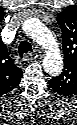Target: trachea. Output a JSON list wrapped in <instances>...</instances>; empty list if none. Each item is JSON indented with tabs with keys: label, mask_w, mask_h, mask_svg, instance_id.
Instances as JSON below:
<instances>
[{
	"label": "trachea",
	"mask_w": 77,
	"mask_h": 125,
	"mask_svg": "<svg viewBox=\"0 0 77 125\" xmlns=\"http://www.w3.org/2000/svg\"><path fill=\"white\" fill-rule=\"evenodd\" d=\"M32 51V47L29 42L22 41L19 45V52L20 54H23L24 52Z\"/></svg>",
	"instance_id": "obj_1"
}]
</instances>
